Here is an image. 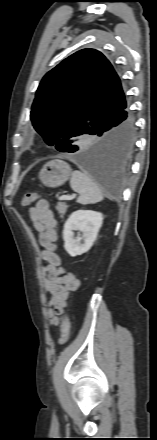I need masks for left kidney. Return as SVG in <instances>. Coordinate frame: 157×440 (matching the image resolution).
<instances>
[{
  "label": "left kidney",
  "instance_id": "left-kidney-1",
  "mask_svg": "<svg viewBox=\"0 0 157 440\" xmlns=\"http://www.w3.org/2000/svg\"><path fill=\"white\" fill-rule=\"evenodd\" d=\"M103 215L90 210H78L71 214L64 225L63 239L67 253L74 257L90 250L102 226ZM74 230L82 234L74 237Z\"/></svg>",
  "mask_w": 157,
  "mask_h": 440
}]
</instances>
